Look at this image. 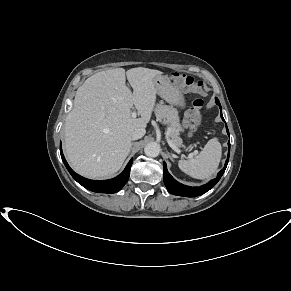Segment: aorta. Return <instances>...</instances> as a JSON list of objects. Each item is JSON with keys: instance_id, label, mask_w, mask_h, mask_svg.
Listing matches in <instances>:
<instances>
[{"instance_id": "aorta-1", "label": "aorta", "mask_w": 291, "mask_h": 291, "mask_svg": "<svg viewBox=\"0 0 291 291\" xmlns=\"http://www.w3.org/2000/svg\"><path fill=\"white\" fill-rule=\"evenodd\" d=\"M144 152L148 157H157L160 153V145L156 142L148 143L144 148Z\"/></svg>"}]
</instances>
